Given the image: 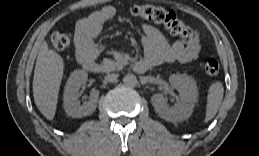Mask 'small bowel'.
I'll use <instances>...</instances> for the list:
<instances>
[{"instance_id":"1","label":"small bowel","mask_w":259,"mask_h":156,"mask_svg":"<svg viewBox=\"0 0 259 156\" xmlns=\"http://www.w3.org/2000/svg\"><path fill=\"white\" fill-rule=\"evenodd\" d=\"M116 9L107 5L80 19L76 26L75 46L80 57L89 54L96 56L99 48L94 39L100 34L103 24L114 17ZM142 43L145 56L142 60L149 67L161 63L191 62L199 57L201 43L198 34L192 41L177 40L170 42L169 38L157 28L144 24L142 26Z\"/></svg>"}]
</instances>
